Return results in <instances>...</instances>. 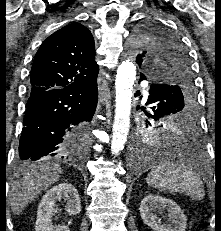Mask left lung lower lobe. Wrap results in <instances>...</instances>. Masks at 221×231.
<instances>
[{
	"instance_id": "0a47b994",
	"label": "left lung lower lobe",
	"mask_w": 221,
	"mask_h": 231,
	"mask_svg": "<svg viewBox=\"0 0 221 231\" xmlns=\"http://www.w3.org/2000/svg\"><path fill=\"white\" fill-rule=\"evenodd\" d=\"M146 79L140 76L142 81ZM165 88L160 85H151L147 102H156L162 96ZM200 143L198 136V123L195 119L189 118L181 122L178 127L172 131L162 133L157 139L151 141L150 147L134 146L131 150L133 159L139 158L144 161L159 159L167 152H181L179 160L184 163H192L195 158L194 151ZM165 146V150L159 149L158 146ZM189 150V151H188Z\"/></svg>"
}]
</instances>
